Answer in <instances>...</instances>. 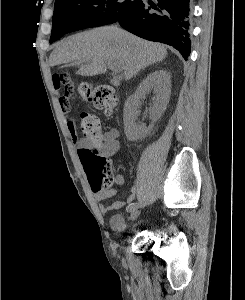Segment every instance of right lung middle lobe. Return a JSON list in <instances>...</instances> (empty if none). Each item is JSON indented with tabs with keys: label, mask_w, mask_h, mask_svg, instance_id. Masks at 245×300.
I'll return each mask as SVG.
<instances>
[{
	"label": "right lung middle lobe",
	"mask_w": 245,
	"mask_h": 300,
	"mask_svg": "<svg viewBox=\"0 0 245 300\" xmlns=\"http://www.w3.org/2000/svg\"><path fill=\"white\" fill-rule=\"evenodd\" d=\"M139 2L140 0H58L54 5L50 42L59 38L55 24L60 19L75 22L82 25V28L112 24L128 14Z\"/></svg>",
	"instance_id": "obj_1"
}]
</instances>
